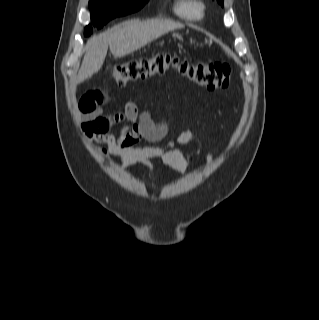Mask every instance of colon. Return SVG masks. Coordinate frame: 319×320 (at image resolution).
Here are the masks:
<instances>
[{
  "label": "colon",
  "instance_id": "colon-1",
  "mask_svg": "<svg viewBox=\"0 0 319 320\" xmlns=\"http://www.w3.org/2000/svg\"><path fill=\"white\" fill-rule=\"evenodd\" d=\"M170 68L177 69L186 79L207 89H225L230 83L231 68L228 63L192 62L172 53H159L151 57L117 63L112 73L117 85L124 87L131 82L162 74ZM164 135L163 130L148 124L138 127L126 126L124 131L128 144H135L140 140L154 142L162 139Z\"/></svg>",
  "mask_w": 319,
  "mask_h": 320
}]
</instances>
